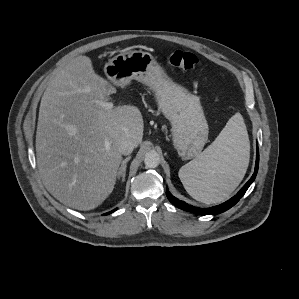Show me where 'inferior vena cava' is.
Returning <instances> with one entry per match:
<instances>
[{
  "label": "inferior vena cava",
  "instance_id": "602c4592",
  "mask_svg": "<svg viewBox=\"0 0 299 299\" xmlns=\"http://www.w3.org/2000/svg\"><path fill=\"white\" fill-rule=\"evenodd\" d=\"M136 147V143L131 140H123L120 142L118 151L122 155H129L132 153L133 149Z\"/></svg>",
  "mask_w": 299,
  "mask_h": 299
}]
</instances>
